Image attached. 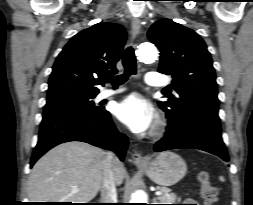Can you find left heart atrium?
<instances>
[{
  "mask_svg": "<svg viewBox=\"0 0 253 205\" xmlns=\"http://www.w3.org/2000/svg\"><path fill=\"white\" fill-rule=\"evenodd\" d=\"M115 115L134 133L148 131L156 119L152 105L137 94L120 101L115 107Z\"/></svg>",
  "mask_w": 253,
  "mask_h": 205,
  "instance_id": "1",
  "label": "left heart atrium"
}]
</instances>
